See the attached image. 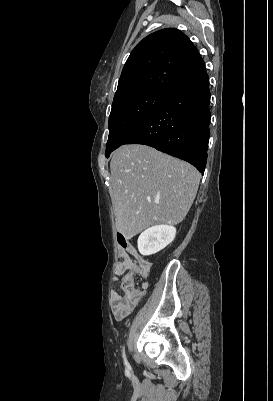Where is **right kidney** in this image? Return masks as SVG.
<instances>
[{
  "instance_id": "obj_1",
  "label": "right kidney",
  "mask_w": 273,
  "mask_h": 401,
  "mask_svg": "<svg viewBox=\"0 0 273 401\" xmlns=\"http://www.w3.org/2000/svg\"><path fill=\"white\" fill-rule=\"evenodd\" d=\"M176 235L175 227H169V225H156V227H150L141 233L137 243L138 251L141 255H155L162 249H165L167 245H170L174 241Z\"/></svg>"
}]
</instances>
